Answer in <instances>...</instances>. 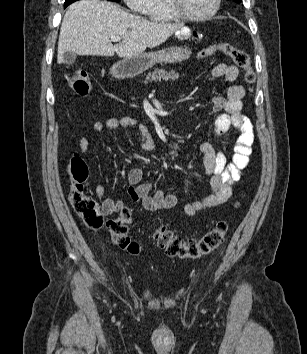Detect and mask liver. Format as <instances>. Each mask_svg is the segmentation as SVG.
<instances>
[{"mask_svg": "<svg viewBox=\"0 0 307 354\" xmlns=\"http://www.w3.org/2000/svg\"><path fill=\"white\" fill-rule=\"evenodd\" d=\"M183 24L151 22L103 0H80L71 4L62 21L57 63L66 52L85 56L136 57L165 42ZM112 36L122 43L113 45Z\"/></svg>", "mask_w": 307, "mask_h": 354, "instance_id": "1", "label": "liver"}]
</instances>
